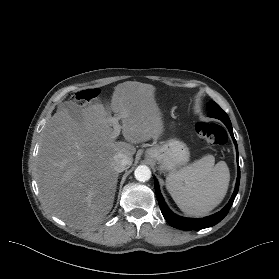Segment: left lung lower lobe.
Wrapping results in <instances>:
<instances>
[{"label": "left lung lower lobe", "mask_w": 279, "mask_h": 279, "mask_svg": "<svg viewBox=\"0 0 279 279\" xmlns=\"http://www.w3.org/2000/svg\"><path fill=\"white\" fill-rule=\"evenodd\" d=\"M225 125L231 134V137L233 139V142H234L236 150H237V143H236V140L233 135L231 122H225ZM237 154H238V151H237ZM237 160H238V157H237ZM239 183H240V168L238 167V176H237V180H236L235 190H234V193H233L229 203L218 213L211 215L209 217L201 218V219L184 218V217H180V216L174 214L173 212H171L164 202V199L159 190V185L156 180H155V192H156V197H157L161 212H162L164 218L166 219V221L171 226L181 229V230H200V229H204L207 227H211V226L219 223L227 215V213L229 212L231 205L233 204V201L238 193Z\"/></svg>", "instance_id": "left-lung-lower-lobe-1"}]
</instances>
